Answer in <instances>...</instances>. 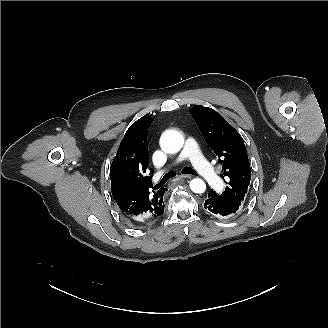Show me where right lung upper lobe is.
<instances>
[{"label": "right lung upper lobe", "mask_w": 328, "mask_h": 328, "mask_svg": "<svg viewBox=\"0 0 328 328\" xmlns=\"http://www.w3.org/2000/svg\"><path fill=\"white\" fill-rule=\"evenodd\" d=\"M153 118L134 122L122 139L111 168V191L122 214L134 225L156 220L164 212L166 188L153 189L148 169L147 131Z\"/></svg>", "instance_id": "right-lung-upper-lobe-1"}]
</instances>
